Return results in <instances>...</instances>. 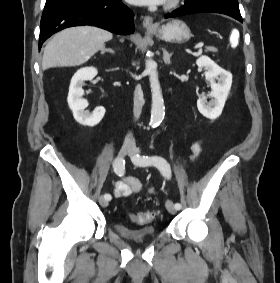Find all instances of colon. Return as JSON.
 I'll return each instance as SVG.
<instances>
[{"label": "colon", "instance_id": "obj_1", "mask_svg": "<svg viewBox=\"0 0 280 283\" xmlns=\"http://www.w3.org/2000/svg\"><path fill=\"white\" fill-rule=\"evenodd\" d=\"M228 33L232 34L233 36V37H229V42H231L230 46L238 47L239 46L238 42H240V37L243 36V33L237 32L234 25L230 26ZM157 214L158 213L154 211L137 212V213H133L131 217L132 220L137 224H147L153 221L156 218Z\"/></svg>", "mask_w": 280, "mask_h": 283}]
</instances>
